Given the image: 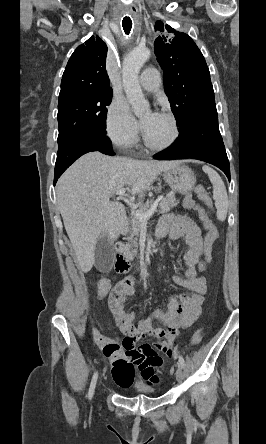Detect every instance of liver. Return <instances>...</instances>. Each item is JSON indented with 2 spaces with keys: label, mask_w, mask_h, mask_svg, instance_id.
Masks as SVG:
<instances>
[{
  "label": "liver",
  "mask_w": 266,
  "mask_h": 444,
  "mask_svg": "<svg viewBox=\"0 0 266 444\" xmlns=\"http://www.w3.org/2000/svg\"><path fill=\"white\" fill-rule=\"evenodd\" d=\"M179 161H142L89 152L80 157L57 183V205L80 269L95 264L101 237L114 241L125 231L126 211L110 198L125 186L135 195L147 190L157 176Z\"/></svg>",
  "instance_id": "liver-1"
}]
</instances>
